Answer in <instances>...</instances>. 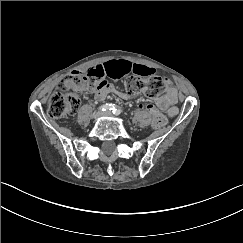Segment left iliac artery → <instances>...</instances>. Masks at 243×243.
<instances>
[{"label":"left iliac artery","instance_id":"left-iliac-artery-1","mask_svg":"<svg viewBox=\"0 0 243 243\" xmlns=\"http://www.w3.org/2000/svg\"><path fill=\"white\" fill-rule=\"evenodd\" d=\"M122 112L121 108H116L114 111H113V114L115 115H120Z\"/></svg>","mask_w":243,"mask_h":243}]
</instances>
